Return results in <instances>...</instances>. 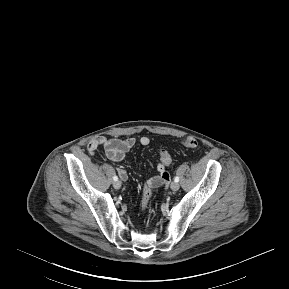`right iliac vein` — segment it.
Listing matches in <instances>:
<instances>
[{
	"instance_id": "obj_1",
	"label": "right iliac vein",
	"mask_w": 289,
	"mask_h": 289,
	"mask_svg": "<svg viewBox=\"0 0 289 289\" xmlns=\"http://www.w3.org/2000/svg\"><path fill=\"white\" fill-rule=\"evenodd\" d=\"M113 187H114L115 189H120V187H121V182H120V181H115V182L113 183Z\"/></svg>"
}]
</instances>
